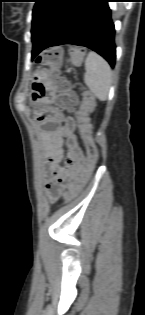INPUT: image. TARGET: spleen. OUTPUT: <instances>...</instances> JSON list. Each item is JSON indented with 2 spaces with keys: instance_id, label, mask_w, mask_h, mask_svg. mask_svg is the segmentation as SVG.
<instances>
[{
  "instance_id": "obj_1",
  "label": "spleen",
  "mask_w": 145,
  "mask_h": 315,
  "mask_svg": "<svg viewBox=\"0 0 145 315\" xmlns=\"http://www.w3.org/2000/svg\"><path fill=\"white\" fill-rule=\"evenodd\" d=\"M84 81L90 91L101 101L108 99L112 73L109 64L91 51L85 59Z\"/></svg>"
}]
</instances>
